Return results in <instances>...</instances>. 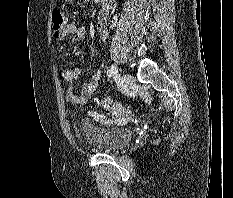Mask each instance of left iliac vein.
<instances>
[{"mask_svg":"<svg viewBox=\"0 0 233 198\" xmlns=\"http://www.w3.org/2000/svg\"><path fill=\"white\" fill-rule=\"evenodd\" d=\"M121 83L125 89H130L134 85L135 79L131 74L126 73L122 75Z\"/></svg>","mask_w":233,"mask_h":198,"instance_id":"4c4485c4","label":"left iliac vein"}]
</instances>
